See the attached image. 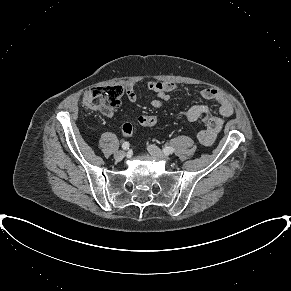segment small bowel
I'll list each match as a JSON object with an SVG mask.
<instances>
[{"instance_id": "small-bowel-1", "label": "small bowel", "mask_w": 291, "mask_h": 291, "mask_svg": "<svg viewBox=\"0 0 291 291\" xmlns=\"http://www.w3.org/2000/svg\"><path fill=\"white\" fill-rule=\"evenodd\" d=\"M147 88L154 93L150 104L154 108L161 107L163 102L170 99V93L176 89V84L172 82L149 81ZM137 84L129 83L125 87L127 99L131 103L137 101ZM201 95L206 100H213L219 104V113L222 117H229L234 113V108L228 98L220 91L213 88H206L201 91ZM108 117L114 115L113 110L105 111ZM200 117L205 125V129L197 133V139L203 145L209 146L213 143L216 135L221 131L224 120L221 117L213 115L209 107L205 104L195 105L186 112V120L189 123L196 122Z\"/></svg>"}]
</instances>
